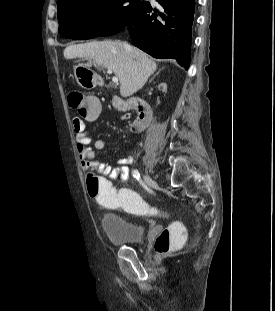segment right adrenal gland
Masks as SVG:
<instances>
[{"label": "right adrenal gland", "instance_id": "right-adrenal-gland-1", "mask_svg": "<svg viewBox=\"0 0 275 311\" xmlns=\"http://www.w3.org/2000/svg\"><path fill=\"white\" fill-rule=\"evenodd\" d=\"M158 73H159V71L149 80V82H151L152 79H153L156 75H158Z\"/></svg>", "mask_w": 275, "mask_h": 311}]
</instances>
